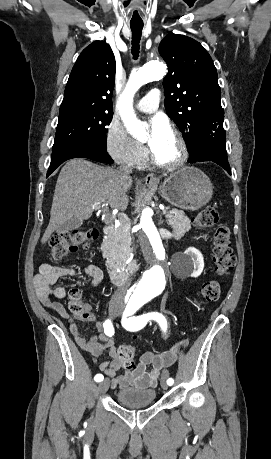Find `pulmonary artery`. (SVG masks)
<instances>
[{
  "label": "pulmonary artery",
  "mask_w": 271,
  "mask_h": 459,
  "mask_svg": "<svg viewBox=\"0 0 271 459\" xmlns=\"http://www.w3.org/2000/svg\"><path fill=\"white\" fill-rule=\"evenodd\" d=\"M148 94L144 95V98H139L136 105L138 110L145 113L154 112L162 101L159 89H150Z\"/></svg>",
  "instance_id": "pulmonary-artery-1"
}]
</instances>
